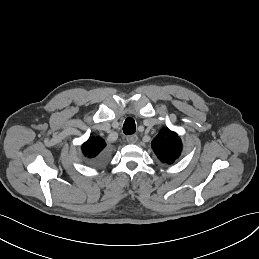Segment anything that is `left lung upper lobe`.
Returning <instances> with one entry per match:
<instances>
[{
    "label": "left lung upper lobe",
    "instance_id": "5c2ea615",
    "mask_svg": "<svg viewBox=\"0 0 259 259\" xmlns=\"http://www.w3.org/2000/svg\"><path fill=\"white\" fill-rule=\"evenodd\" d=\"M151 147L162 163L172 164L181 155L182 142L177 133L163 128L153 139Z\"/></svg>",
    "mask_w": 259,
    "mask_h": 259
}]
</instances>
